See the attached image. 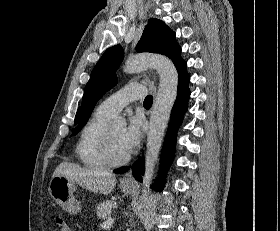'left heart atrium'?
I'll return each mask as SVG.
<instances>
[{"mask_svg":"<svg viewBox=\"0 0 280 231\" xmlns=\"http://www.w3.org/2000/svg\"><path fill=\"white\" fill-rule=\"evenodd\" d=\"M141 139L140 120L133 118L128 125L123 128L119 136V145L125 154L131 153L139 144Z\"/></svg>","mask_w":280,"mask_h":231,"instance_id":"left-heart-atrium-1","label":"left heart atrium"}]
</instances>
